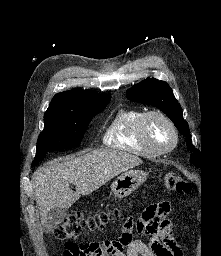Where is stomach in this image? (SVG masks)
Masks as SVG:
<instances>
[{
	"label": "stomach",
	"instance_id": "stomach-1",
	"mask_svg": "<svg viewBox=\"0 0 221 256\" xmlns=\"http://www.w3.org/2000/svg\"><path fill=\"white\" fill-rule=\"evenodd\" d=\"M147 176L144 171H127L111 184V191L118 198L127 197L145 182Z\"/></svg>",
	"mask_w": 221,
	"mask_h": 256
}]
</instances>
